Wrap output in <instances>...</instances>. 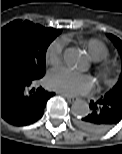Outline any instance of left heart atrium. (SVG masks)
Listing matches in <instances>:
<instances>
[{
  "mask_svg": "<svg viewBox=\"0 0 122 154\" xmlns=\"http://www.w3.org/2000/svg\"><path fill=\"white\" fill-rule=\"evenodd\" d=\"M47 85L52 90L68 95H84L93 88L92 80L67 68L52 70L47 77Z\"/></svg>",
  "mask_w": 122,
  "mask_h": 154,
  "instance_id": "1",
  "label": "left heart atrium"
}]
</instances>
